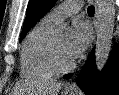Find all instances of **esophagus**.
Returning a JSON list of instances; mask_svg holds the SVG:
<instances>
[{"instance_id":"esophagus-1","label":"esophagus","mask_w":119,"mask_h":95,"mask_svg":"<svg viewBox=\"0 0 119 95\" xmlns=\"http://www.w3.org/2000/svg\"><path fill=\"white\" fill-rule=\"evenodd\" d=\"M97 23H98V10L96 8L95 20H94L95 27L97 26ZM68 88L75 89L76 88V84L74 82H72V83L68 84Z\"/></svg>"}]
</instances>
